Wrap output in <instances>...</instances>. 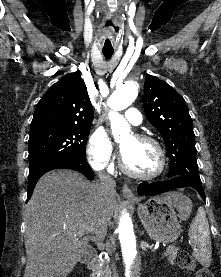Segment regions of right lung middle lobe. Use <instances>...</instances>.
Instances as JSON below:
<instances>
[{"label":"right lung middle lobe","instance_id":"dd1d6c3e","mask_svg":"<svg viewBox=\"0 0 221 277\" xmlns=\"http://www.w3.org/2000/svg\"><path fill=\"white\" fill-rule=\"evenodd\" d=\"M91 126L37 125L30 127L29 176L70 159H85Z\"/></svg>","mask_w":221,"mask_h":277}]
</instances>
